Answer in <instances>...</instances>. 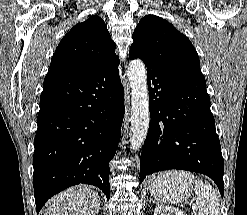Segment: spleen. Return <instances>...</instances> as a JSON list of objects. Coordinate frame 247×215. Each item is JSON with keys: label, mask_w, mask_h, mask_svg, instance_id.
<instances>
[{"label": "spleen", "mask_w": 247, "mask_h": 215, "mask_svg": "<svg viewBox=\"0 0 247 215\" xmlns=\"http://www.w3.org/2000/svg\"><path fill=\"white\" fill-rule=\"evenodd\" d=\"M196 201L192 206L195 215H218L219 198L216 190L209 183L200 179L194 181Z\"/></svg>", "instance_id": "3e777b00"}]
</instances>
